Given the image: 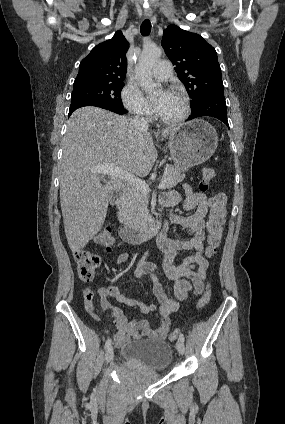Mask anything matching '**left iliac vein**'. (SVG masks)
I'll return each mask as SVG.
<instances>
[{
    "instance_id": "obj_1",
    "label": "left iliac vein",
    "mask_w": 285,
    "mask_h": 424,
    "mask_svg": "<svg viewBox=\"0 0 285 424\" xmlns=\"http://www.w3.org/2000/svg\"><path fill=\"white\" fill-rule=\"evenodd\" d=\"M177 350L180 354H184L185 352V346H184V342L181 341L180 339L177 341L176 344Z\"/></svg>"
}]
</instances>
